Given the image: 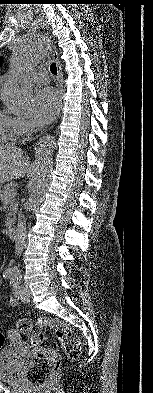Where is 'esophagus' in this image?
Here are the masks:
<instances>
[{"instance_id":"34e87169","label":"esophagus","mask_w":153,"mask_h":393,"mask_svg":"<svg viewBox=\"0 0 153 393\" xmlns=\"http://www.w3.org/2000/svg\"><path fill=\"white\" fill-rule=\"evenodd\" d=\"M52 57H53V60L57 66V81H58V86H59V91H60V106H62L63 94H64L63 73H62V68H61V64L59 61V57H58V52L55 48L52 52Z\"/></svg>"}]
</instances>
